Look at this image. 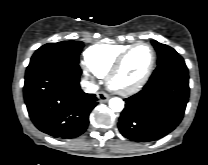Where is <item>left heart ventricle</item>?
Returning <instances> with one entry per match:
<instances>
[{
	"label": "left heart ventricle",
	"mask_w": 208,
	"mask_h": 165,
	"mask_svg": "<svg viewBox=\"0 0 208 165\" xmlns=\"http://www.w3.org/2000/svg\"><path fill=\"white\" fill-rule=\"evenodd\" d=\"M151 60V51L145 46L136 48L127 58L121 72L117 76V83L129 85L136 82L144 74Z\"/></svg>",
	"instance_id": "1"
}]
</instances>
